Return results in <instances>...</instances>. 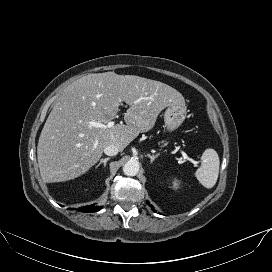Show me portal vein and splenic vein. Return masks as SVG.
Masks as SVG:
<instances>
[{
	"mask_svg": "<svg viewBox=\"0 0 272 272\" xmlns=\"http://www.w3.org/2000/svg\"><path fill=\"white\" fill-rule=\"evenodd\" d=\"M89 125L92 126V127L105 129V128H112V127H114L115 122L114 121H110L107 124H102L100 122L91 121L89 123ZM96 145H97V143H95L94 148L96 147ZM176 150H180V149L177 147ZM180 152H181L182 157H183L184 160H188V161L192 162L193 164H197V162L195 160H193L192 158L188 157L187 154L184 151L180 150Z\"/></svg>",
	"mask_w": 272,
	"mask_h": 272,
	"instance_id": "1",
	"label": "portal vein and splenic vein"
}]
</instances>
